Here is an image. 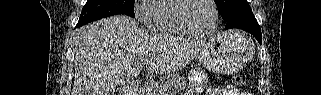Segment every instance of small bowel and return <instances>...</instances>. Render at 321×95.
Returning <instances> with one entry per match:
<instances>
[{
  "label": "small bowel",
  "instance_id": "obj_1",
  "mask_svg": "<svg viewBox=\"0 0 321 95\" xmlns=\"http://www.w3.org/2000/svg\"><path fill=\"white\" fill-rule=\"evenodd\" d=\"M207 95H239L238 91L235 87L231 85H226L218 88L209 89L206 93ZM188 95H193V93H189ZM243 95V94H241Z\"/></svg>",
  "mask_w": 321,
  "mask_h": 95
}]
</instances>
